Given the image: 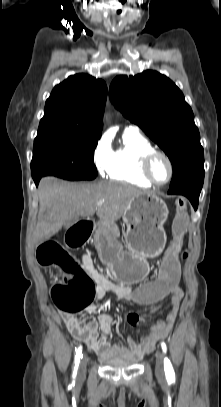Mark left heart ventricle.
I'll return each instance as SVG.
<instances>
[{
    "instance_id": "left-heart-ventricle-1",
    "label": "left heart ventricle",
    "mask_w": 221,
    "mask_h": 407,
    "mask_svg": "<svg viewBox=\"0 0 221 407\" xmlns=\"http://www.w3.org/2000/svg\"><path fill=\"white\" fill-rule=\"evenodd\" d=\"M151 172L156 181H166L169 177V166L166 160L161 156H157L152 162Z\"/></svg>"
}]
</instances>
